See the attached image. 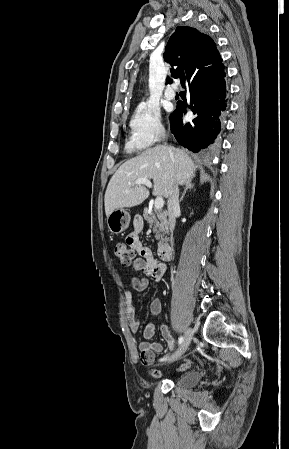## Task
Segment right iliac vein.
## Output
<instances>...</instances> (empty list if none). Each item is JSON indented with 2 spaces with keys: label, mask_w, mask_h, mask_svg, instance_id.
I'll return each instance as SVG.
<instances>
[{
  "label": "right iliac vein",
  "mask_w": 289,
  "mask_h": 449,
  "mask_svg": "<svg viewBox=\"0 0 289 449\" xmlns=\"http://www.w3.org/2000/svg\"><path fill=\"white\" fill-rule=\"evenodd\" d=\"M192 337H193V331L191 328H188L185 331L183 342H182L179 350L174 354V356H172V358L169 359L168 363H173V362L177 361L186 352V350L188 349V347L190 345Z\"/></svg>",
  "instance_id": "right-iliac-vein-1"
}]
</instances>
